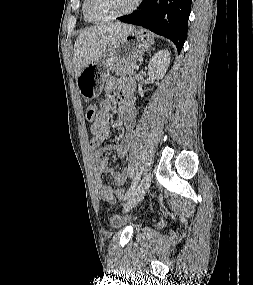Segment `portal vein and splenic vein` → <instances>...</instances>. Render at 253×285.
I'll list each match as a JSON object with an SVG mask.
<instances>
[{
	"instance_id": "portal-vein-and-splenic-vein-1",
	"label": "portal vein and splenic vein",
	"mask_w": 253,
	"mask_h": 285,
	"mask_svg": "<svg viewBox=\"0 0 253 285\" xmlns=\"http://www.w3.org/2000/svg\"><path fill=\"white\" fill-rule=\"evenodd\" d=\"M133 69H134V70H138V69H139V65H134V66H133Z\"/></svg>"
}]
</instances>
